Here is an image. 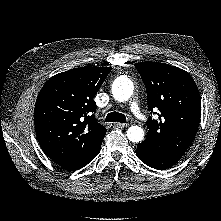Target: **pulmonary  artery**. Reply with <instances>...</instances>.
<instances>
[{
    "instance_id": "pulmonary-artery-1",
    "label": "pulmonary artery",
    "mask_w": 221,
    "mask_h": 221,
    "mask_svg": "<svg viewBox=\"0 0 221 221\" xmlns=\"http://www.w3.org/2000/svg\"><path fill=\"white\" fill-rule=\"evenodd\" d=\"M130 109L136 117L142 118V114H141V111L137 102H132L130 104Z\"/></svg>"
}]
</instances>
